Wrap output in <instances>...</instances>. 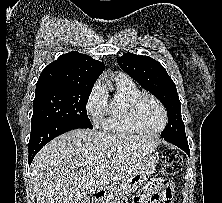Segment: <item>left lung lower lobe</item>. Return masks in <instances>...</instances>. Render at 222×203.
<instances>
[{
    "instance_id": "1",
    "label": "left lung lower lobe",
    "mask_w": 222,
    "mask_h": 203,
    "mask_svg": "<svg viewBox=\"0 0 222 203\" xmlns=\"http://www.w3.org/2000/svg\"><path fill=\"white\" fill-rule=\"evenodd\" d=\"M167 142H170L177 147L181 148L183 151H185L188 156L190 157V150L187 142V138L185 139H171V138H164Z\"/></svg>"
}]
</instances>
